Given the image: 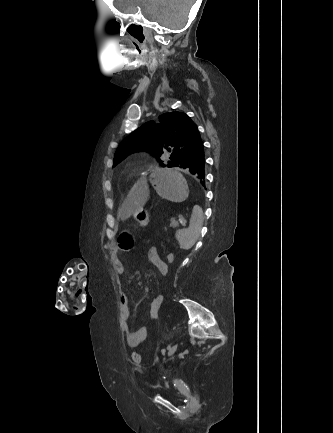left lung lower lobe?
I'll return each mask as SVG.
<instances>
[{
	"label": "left lung lower lobe",
	"instance_id": "left-lung-lower-lobe-1",
	"mask_svg": "<svg viewBox=\"0 0 333 433\" xmlns=\"http://www.w3.org/2000/svg\"><path fill=\"white\" fill-rule=\"evenodd\" d=\"M198 178L205 185V154L202 140L193 146L176 164Z\"/></svg>",
	"mask_w": 333,
	"mask_h": 433
}]
</instances>
